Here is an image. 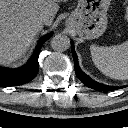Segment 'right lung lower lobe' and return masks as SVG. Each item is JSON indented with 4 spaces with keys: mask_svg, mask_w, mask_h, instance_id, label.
I'll return each instance as SVG.
<instances>
[{
    "mask_svg": "<svg viewBox=\"0 0 128 128\" xmlns=\"http://www.w3.org/2000/svg\"><path fill=\"white\" fill-rule=\"evenodd\" d=\"M52 35V33L44 36L29 61L20 68L14 70H6L0 68V86H18L30 82L38 73L39 52L44 42Z\"/></svg>",
    "mask_w": 128,
    "mask_h": 128,
    "instance_id": "1",
    "label": "right lung lower lobe"
}]
</instances>
